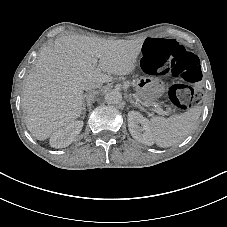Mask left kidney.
Listing matches in <instances>:
<instances>
[{"mask_svg": "<svg viewBox=\"0 0 227 227\" xmlns=\"http://www.w3.org/2000/svg\"><path fill=\"white\" fill-rule=\"evenodd\" d=\"M128 128L132 137L144 145L153 144L152 137L149 133L147 120L138 112L128 113Z\"/></svg>", "mask_w": 227, "mask_h": 227, "instance_id": "left-kidney-1", "label": "left kidney"}]
</instances>
